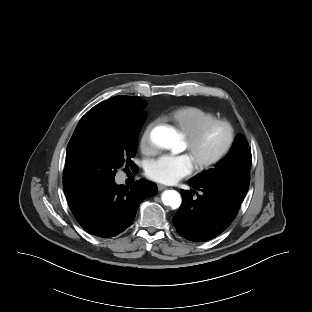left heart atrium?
<instances>
[{
  "instance_id": "left-heart-atrium-1",
  "label": "left heart atrium",
  "mask_w": 312,
  "mask_h": 312,
  "mask_svg": "<svg viewBox=\"0 0 312 312\" xmlns=\"http://www.w3.org/2000/svg\"><path fill=\"white\" fill-rule=\"evenodd\" d=\"M192 170L193 162L188 155H164L147 166L146 175L155 182L173 184L188 176Z\"/></svg>"
}]
</instances>
